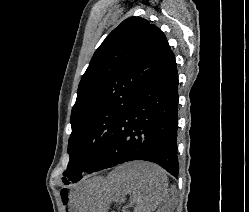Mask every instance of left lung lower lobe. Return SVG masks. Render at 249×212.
Wrapping results in <instances>:
<instances>
[{
  "instance_id": "left-lung-lower-lobe-1",
  "label": "left lung lower lobe",
  "mask_w": 249,
  "mask_h": 212,
  "mask_svg": "<svg viewBox=\"0 0 249 212\" xmlns=\"http://www.w3.org/2000/svg\"><path fill=\"white\" fill-rule=\"evenodd\" d=\"M177 87L176 62L170 50L118 120L109 146L88 173L145 160L177 177Z\"/></svg>"
}]
</instances>
